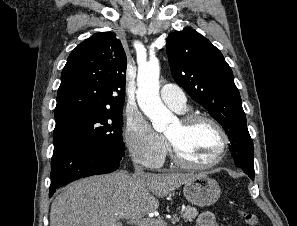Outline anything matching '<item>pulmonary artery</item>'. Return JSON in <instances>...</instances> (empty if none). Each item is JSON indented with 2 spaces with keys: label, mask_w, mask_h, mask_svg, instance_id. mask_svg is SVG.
<instances>
[{
  "label": "pulmonary artery",
  "mask_w": 297,
  "mask_h": 226,
  "mask_svg": "<svg viewBox=\"0 0 297 226\" xmlns=\"http://www.w3.org/2000/svg\"><path fill=\"white\" fill-rule=\"evenodd\" d=\"M160 95L162 101L174 111L183 112L187 109L186 96L180 87L165 84L161 87Z\"/></svg>",
  "instance_id": "pulmonary-artery-1"
}]
</instances>
